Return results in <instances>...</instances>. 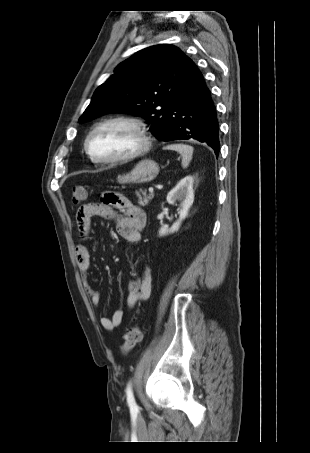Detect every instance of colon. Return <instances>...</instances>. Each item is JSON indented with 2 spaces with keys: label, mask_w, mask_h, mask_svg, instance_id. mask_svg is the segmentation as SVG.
Wrapping results in <instances>:
<instances>
[{
  "label": "colon",
  "mask_w": 310,
  "mask_h": 453,
  "mask_svg": "<svg viewBox=\"0 0 310 453\" xmlns=\"http://www.w3.org/2000/svg\"><path fill=\"white\" fill-rule=\"evenodd\" d=\"M109 193L102 197V201L108 200ZM88 190L85 185H74L72 187V202L74 204H81L87 200ZM142 339V332L139 327H131L126 330L123 336V344L121 352L123 354L129 353Z\"/></svg>",
  "instance_id": "1"
}]
</instances>
